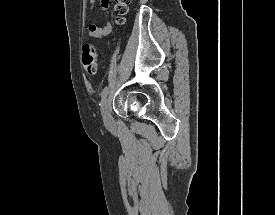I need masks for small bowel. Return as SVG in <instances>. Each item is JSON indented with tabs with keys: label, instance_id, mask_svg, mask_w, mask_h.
I'll list each match as a JSON object with an SVG mask.
<instances>
[{
	"label": "small bowel",
	"instance_id": "1",
	"mask_svg": "<svg viewBox=\"0 0 275 215\" xmlns=\"http://www.w3.org/2000/svg\"><path fill=\"white\" fill-rule=\"evenodd\" d=\"M94 2L95 0H91ZM110 0H100V12H107ZM112 31V24L107 22L103 25L90 24L88 26V35L91 38L102 39Z\"/></svg>",
	"mask_w": 275,
	"mask_h": 215
}]
</instances>
